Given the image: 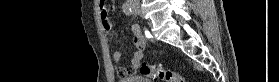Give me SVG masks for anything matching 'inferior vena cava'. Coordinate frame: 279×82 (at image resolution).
<instances>
[{
    "mask_svg": "<svg viewBox=\"0 0 279 82\" xmlns=\"http://www.w3.org/2000/svg\"><path fill=\"white\" fill-rule=\"evenodd\" d=\"M133 2H135L136 5L139 4V0H133Z\"/></svg>",
    "mask_w": 279,
    "mask_h": 82,
    "instance_id": "602c4592",
    "label": "inferior vena cava"
}]
</instances>
